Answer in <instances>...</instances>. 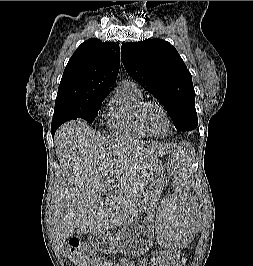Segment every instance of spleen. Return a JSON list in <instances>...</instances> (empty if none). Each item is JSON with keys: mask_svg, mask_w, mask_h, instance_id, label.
Instances as JSON below:
<instances>
[{"mask_svg": "<svg viewBox=\"0 0 253 266\" xmlns=\"http://www.w3.org/2000/svg\"><path fill=\"white\" fill-rule=\"evenodd\" d=\"M189 153H176L175 160L170 161V168L178 173H185L190 168ZM170 199H199V190H170ZM200 210L198 207H186L180 201L177 207H158L154 216V233L156 246L164 248H189L190 242H197V233L191 229H198Z\"/></svg>", "mask_w": 253, "mask_h": 266, "instance_id": "spleen-1", "label": "spleen"}]
</instances>
